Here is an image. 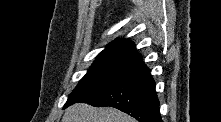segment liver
Segmentation results:
<instances>
[{
    "mask_svg": "<svg viewBox=\"0 0 221 122\" xmlns=\"http://www.w3.org/2000/svg\"><path fill=\"white\" fill-rule=\"evenodd\" d=\"M62 122H135V119L112 107L96 108L76 103L67 108Z\"/></svg>",
    "mask_w": 221,
    "mask_h": 122,
    "instance_id": "1",
    "label": "liver"
}]
</instances>
